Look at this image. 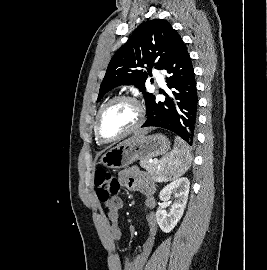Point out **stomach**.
Listing matches in <instances>:
<instances>
[{
  "mask_svg": "<svg viewBox=\"0 0 267 270\" xmlns=\"http://www.w3.org/2000/svg\"><path fill=\"white\" fill-rule=\"evenodd\" d=\"M170 148V141L163 134L144 135L134 142L120 143L106 151L100 162L108 167L120 169L136 160H149L165 154Z\"/></svg>",
  "mask_w": 267,
  "mask_h": 270,
  "instance_id": "stomach-1",
  "label": "stomach"
}]
</instances>
